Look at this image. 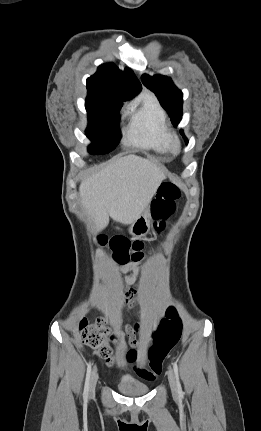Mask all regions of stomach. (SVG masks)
<instances>
[{"label":"stomach","mask_w":261,"mask_h":431,"mask_svg":"<svg viewBox=\"0 0 261 431\" xmlns=\"http://www.w3.org/2000/svg\"><path fill=\"white\" fill-rule=\"evenodd\" d=\"M150 229V212L148 209L133 222L129 227V232L135 237L146 235Z\"/></svg>","instance_id":"obj_1"}]
</instances>
